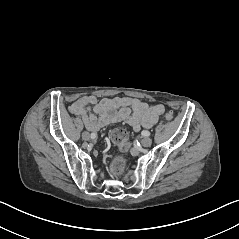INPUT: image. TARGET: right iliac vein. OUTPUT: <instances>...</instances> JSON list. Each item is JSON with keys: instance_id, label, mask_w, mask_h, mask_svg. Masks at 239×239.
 Segmentation results:
<instances>
[{"instance_id": "63e3f726", "label": "right iliac vein", "mask_w": 239, "mask_h": 239, "mask_svg": "<svg viewBox=\"0 0 239 239\" xmlns=\"http://www.w3.org/2000/svg\"><path fill=\"white\" fill-rule=\"evenodd\" d=\"M82 139L88 141L90 139V134L87 131L82 133Z\"/></svg>"}]
</instances>
